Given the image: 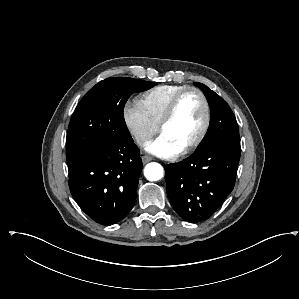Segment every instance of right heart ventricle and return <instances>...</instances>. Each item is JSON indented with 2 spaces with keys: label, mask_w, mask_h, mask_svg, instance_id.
<instances>
[{
  "label": "right heart ventricle",
  "mask_w": 299,
  "mask_h": 299,
  "mask_svg": "<svg viewBox=\"0 0 299 299\" xmlns=\"http://www.w3.org/2000/svg\"><path fill=\"white\" fill-rule=\"evenodd\" d=\"M186 87L185 85H159L141 94L137 103L149 119L158 126L173 97Z\"/></svg>",
  "instance_id": "right-heart-ventricle-1"
}]
</instances>
